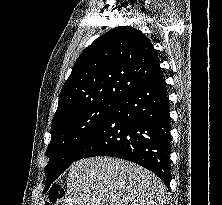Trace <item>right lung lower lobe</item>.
I'll return each instance as SVG.
<instances>
[{
	"label": "right lung lower lobe",
	"instance_id": "obj_1",
	"mask_svg": "<svg viewBox=\"0 0 222 205\" xmlns=\"http://www.w3.org/2000/svg\"><path fill=\"white\" fill-rule=\"evenodd\" d=\"M169 100L163 74L131 90L79 152L76 161L111 156L141 165L170 184Z\"/></svg>",
	"mask_w": 222,
	"mask_h": 205
}]
</instances>
